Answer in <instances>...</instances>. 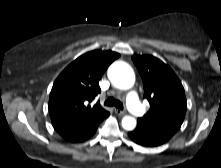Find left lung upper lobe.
Listing matches in <instances>:
<instances>
[{
  "label": "left lung upper lobe",
  "mask_w": 221,
  "mask_h": 168,
  "mask_svg": "<svg viewBox=\"0 0 221 168\" xmlns=\"http://www.w3.org/2000/svg\"><path fill=\"white\" fill-rule=\"evenodd\" d=\"M143 81L150 110L138 122L173 136L181 127L186 109L184 88L173 70L151 55H133Z\"/></svg>",
  "instance_id": "5c2ea615"
}]
</instances>
